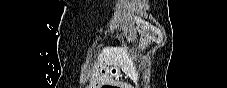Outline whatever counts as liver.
<instances>
[{"label":"liver","instance_id":"obj_1","mask_svg":"<svg viewBox=\"0 0 227 88\" xmlns=\"http://www.w3.org/2000/svg\"><path fill=\"white\" fill-rule=\"evenodd\" d=\"M102 59L109 65H123L126 68L133 66L127 48H107L102 53Z\"/></svg>","mask_w":227,"mask_h":88}]
</instances>
